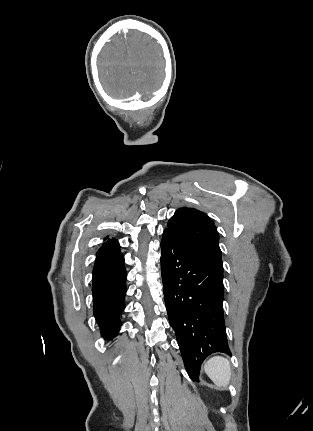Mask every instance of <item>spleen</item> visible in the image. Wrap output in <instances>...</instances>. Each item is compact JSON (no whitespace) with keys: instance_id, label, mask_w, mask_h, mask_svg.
I'll use <instances>...</instances> for the list:
<instances>
[{"instance_id":"1","label":"spleen","mask_w":313,"mask_h":431,"mask_svg":"<svg viewBox=\"0 0 313 431\" xmlns=\"http://www.w3.org/2000/svg\"><path fill=\"white\" fill-rule=\"evenodd\" d=\"M204 371L217 387L226 388L231 379V366L228 359L215 356L204 364Z\"/></svg>"}]
</instances>
